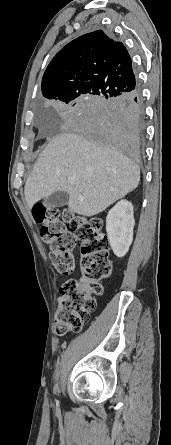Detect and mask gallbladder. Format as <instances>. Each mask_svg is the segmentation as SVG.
<instances>
[{"label": "gallbladder", "mask_w": 171, "mask_h": 445, "mask_svg": "<svg viewBox=\"0 0 171 445\" xmlns=\"http://www.w3.org/2000/svg\"><path fill=\"white\" fill-rule=\"evenodd\" d=\"M69 195L65 191H57L44 199V205L48 208L61 207L68 203Z\"/></svg>", "instance_id": "gallbladder-1"}]
</instances>
